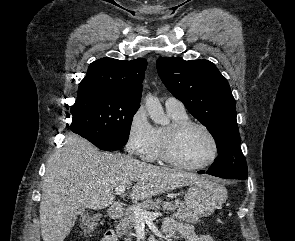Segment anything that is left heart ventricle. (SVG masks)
<instances>
[{"instance_id":"1","label":"left heart ventricle","mask_w":295,"mask_h":241,"mask_svg":"<svg viewBox=\"0 0 295 241\" xmlns=\"http://www.w3.org/2000/svg\"><path fill=\"white\" fill-rule=\"evenodd\" d=\"M212 152L213 145L209 137L195 127L182 132L173 144L175 158L186 164H202L211 157Z\"/></svg>"}]
</instances>
